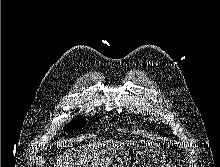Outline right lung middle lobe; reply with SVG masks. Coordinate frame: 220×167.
Returning <instances> with one entry per match:
<instances>
[{
	"instance_id": "dd1d6c3e",
	"label": "right lung middle lobe",
	"mask_w": 220,
	"mask_h": 167,
	"mask_svg": "<svg viewBox=\"0 0 220 167\" xmlns=\"http://www.w3.org/2000/svg\"><path fill=\"white\" fill-rule=\"evenodd\" d=\"M84 124H85V119H82L80 117L68 123L65 128L69 130L80 129L84 126Z\"/></svg>"
}]
</instances>
